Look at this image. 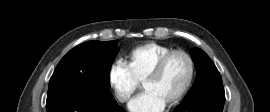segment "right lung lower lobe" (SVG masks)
Segmentation results:
<instances>
[{"label":"right lung lower lobe","mask_w":270,"mask_h":112,"mask_svg":"<svg viewBox=\"0 0 270 112\" xmlns=\"http://www.w3.org/2000/svg\"><path fill=\"white\" fill-rule=\"evenodd\" d=\"M47 112H126L112 101H100L86 93L71 89L46 102Z\"/></svg>","instance_id":"right-lung-lower-lobe-1"}]
</instances>
